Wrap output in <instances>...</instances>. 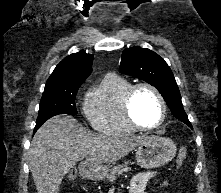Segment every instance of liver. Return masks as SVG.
I'll return each mask as SVG.
<instances>
[{"label": "liver", "instance_id": "liver-1", "mask_svg": "<svg viewBox=\"0 0 221 193\" xmlns=\"http://www.w3.org/2000/svg\"><path fill=\"white\" fill-rule=\"evenodd\" d=\"M149 138L91 133L71 116L53 117L38 129L29 150L37 193H58L65 174L83 159L94 166L113 163Z\"/></svg>", "mask_w": 221, "mask_h": 193}]
</instances>
